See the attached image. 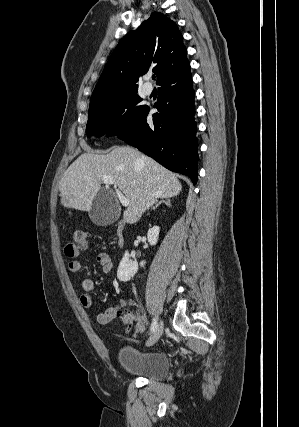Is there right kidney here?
<instances>
[{
    "mask_svg": "<svg viewBox=\"0 0 299 427\" xmlns=\"http://www.w3.org/2000/svg\"><path fill=\"white\" fill-rule=\"evenodd\" d=\"M160 228L158 226H154L148 230L147 239L150 245H156L158 241ZM145 265V261L140 262V266L143 267ZM139 269V265L135 260H131L128 251L125 252L118 270H117V278L120 281L127 282L137 273Z\"/></svg>",
    "mask_w": 299,
    "mask_h": 427,
    "instance_id": "right-kidney-1",
    "label": "right kidney"
}]
</instances>
